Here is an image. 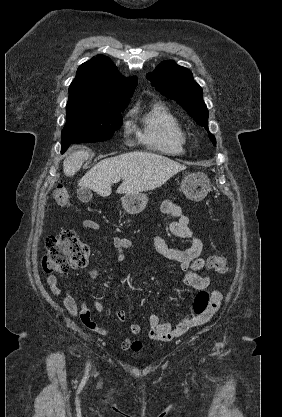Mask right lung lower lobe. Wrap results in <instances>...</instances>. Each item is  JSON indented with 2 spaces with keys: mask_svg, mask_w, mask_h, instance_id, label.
<instances>
[{
  "mask_svg": "<svg viewBox=\"0 0 282 417\" xmlns=\"http://www.w3.org/2000/svg\"><path fill=\"white\" fill-rule=\"evenodd\" d=\"M64 152H65V150L62 149V153H64Z\"/></svg>",
  "mask_w": 282,
  "mask_h": 417,
  "instance_id": "1",
  "label": "right lung lower lobe"
}]
</instances>
